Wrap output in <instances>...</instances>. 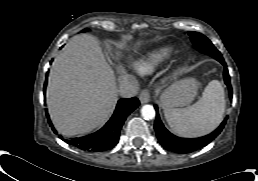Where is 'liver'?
<instances>
[{"label": "liver", "mask_w": 258, "mask_h": 181, "mask_svg": "<svg viewBox=\"0 0 258 181\" xmlns=\"http://www.w3.org/2000/svg\"><path fill=\"white\" fill-rule=\"evenodd\" d=\"M117 97L114 71L96 39L72 37L49 72L46 102L56 129L64 136L91 132L109 118Z\"/></svg>", "instance_id": "obj_1"}]
</instances>
